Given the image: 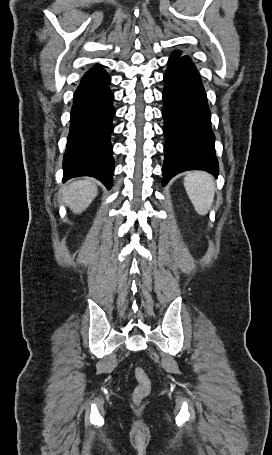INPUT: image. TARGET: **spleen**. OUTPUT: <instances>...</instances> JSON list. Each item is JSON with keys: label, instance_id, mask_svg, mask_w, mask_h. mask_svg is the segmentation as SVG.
Masks as SVG:
<instances>
[{"label": "spleen", "instance_id": "3e777b00", "mask_svg": "<svg viewBox=\"0 0 272 455\" xmlns=\"http://www.w3.org/2000/svg\"><path fill=\"white\" fill-rule=\"evenodd\" d=\"M184 187L197 213L206 215L214 201L216 189L212 176L203 171L190 172L184 178Z\"/></svg>", "mask_w": 272, "mask_h": 455}]
</instances>
